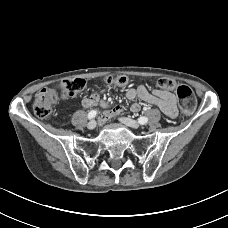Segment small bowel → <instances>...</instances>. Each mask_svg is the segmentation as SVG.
I'll use <instances>...</instances> for the list:
<instances>
[{"label": "small bowel", "mask_w": 228, "mask_h": 228, "mask_svg": "<svg viewBox=\"0 0 228 228\" xmlns=\"http://www.w3.org/2000/svg\"><path fill=\"white\" fill-rule=\"evenodd\" d=\"M125 96L128 100L133 101L137 98L157 106L168 118H175L178 114L175 95L168 90L161 89H148L145 85H139L137 88H128L125 92ZM84 107L90 108L98 104L104 105L100 100L96 91H93L89 96L82 100ZM140 105L133 103L129 109L132 112L140 111ZM126 108L122 105L115 106L106 110L101 116V121H107L110 118L120 114Z\"/></svg>", "instance_id": "obj_1"}]
</instances>
